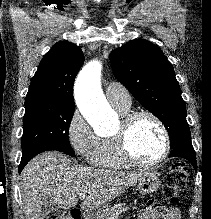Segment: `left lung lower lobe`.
<instances>
[{
    "instance_id": "1",
    "label": "left lung lower lobe",
    "mask_w": 211,
    "mask_h": 219,
    "mask_svg": "<svg viewBox=\"0 0 211 219\" xmlns=\"http://www.w3.org/2000/svg\"><path fill=\"white\" fill-rule=\"evenodd\" d=\"M169 157H180L188 160L197 170L196 155L192 146L191 138L181 139L173 148Z\"/></svg>"
}]
</instances>
